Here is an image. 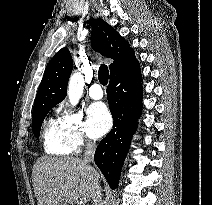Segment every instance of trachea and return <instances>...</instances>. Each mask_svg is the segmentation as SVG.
I'll use <instances>...</instances> for the list:
<instances>
[{
    "instance_id": "obj_1",
    "label": "trachea",
    "mask_w": 212,
    "mask_h": 205,
    "mask_svg": "<svg viewBox=\"0 0 212 205\" xmlns=\"http://www.w3.org/2000/svg\"><path fill=\"white\" fill-rule=\"evenodd\" d=\"M98 78H99V82L102 85H107L108 83V78H109V71H108V67L105 64H102L99 68V72H98Z\"/></svg>"
}]
</instances>
